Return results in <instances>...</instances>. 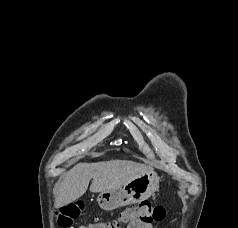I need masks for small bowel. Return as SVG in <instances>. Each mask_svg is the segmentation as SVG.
Returning a JSON list of instances; mask_svg holds the SVG:
<instances>
[{"instance_id": "small-bowel-1", "label": "small bowel", "mask_w": 238, "mask_h": 228, "mask_svg": "<svg viewBox=\"0 0 238 228\" xmlns=\"http://www.w3.org/2000/svg\"><path fill=\"white\" fill-rule=\"evenodd\" d=\"M127 228H153V226L150 224L134 223V224L128 225Z\"/></svg>"}]
</instances>
